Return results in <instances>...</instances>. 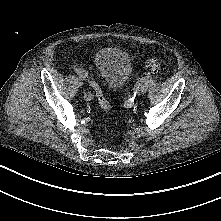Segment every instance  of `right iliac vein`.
Returning <instances> with one entry per match:
<instances>
[{
	"mask_svg": "<svg viewBox=\"0 0 221 221\" xmlns=\"http://www.w3.org/2000/svg\"><path fill=\"white\" fill-rule=\"evenodd\" d=\"M77 81H78L79 85H82V84H83V79H82L81 77H78V78H77Z\"/></svg>",
	"mask_w": 221,
	"mask_h": 221,
	"instance_id": "right-iliac-vein-1",
	"label": "right iliac vein"
}]
</instances>
